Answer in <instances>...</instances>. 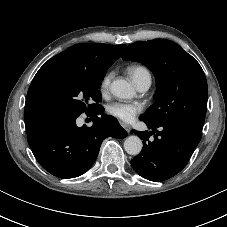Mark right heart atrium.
<instances>
[{"instance_id":"right-heart-atrium-1","label":"right heart atrium","mask_w":227,"mask_h":227,"mask_svg":"<svg viewBox=\"0 0 227 227\" xmlns=\"http://www.w3.org/2000/svg\"><path fill=\"white\" fill-rule=\"evenodd\" d=\"M112 78H113V72H108L102 77L100 81L101 93L104 94L108 91Z\"/></svg>"}]
</instances>
